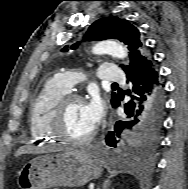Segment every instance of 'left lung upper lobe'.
I'll return each instance as SVG.
<instances>
[{
  "label": "left lung upper lobe",
  "mask_w": 188,
  "mask_h": 189,
  "mask_svg": "<svg viewBox=\"0 0 188 189\" xmlns=\"http://www.w3.org/2000/svg\"><path fill=\"white\" fill-rule=\"evenodd\" d=\"M118 39L124 42L129 49L130 65H121L124 71L128 70L140 62L150 60V55L145 49V46L140 38V33L136 27L128 21L122 20L117 17L101 18L95 21L88 29L85 39L92 40H105V39ZM78 43L71 46V49H76ZM68 47H64L62 52H66ZM118 100L116 93H112L111 103L114 105ZM161 125L154 128L145 130H135L129 135V143L131 144H148L154 146L158 140Z\"/></svg>",
  "instance_id": "obj_1"
}]
</instances>
